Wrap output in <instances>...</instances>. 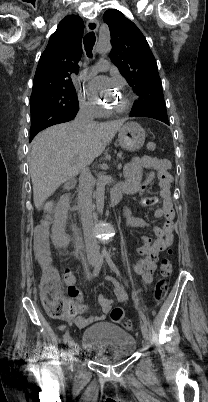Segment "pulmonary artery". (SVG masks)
Returning a JSON list of instances; mask_svg holds the SVG:
<instances>
[{"mask_svg": "<svg viewBox=\"0 0 208 402\" xmlns=\"http://www.w3.org/2000/svg\"><path fill=\"white\" fill-rule=\"evenodd\" d=\"M108 63H107V61L106 60H100L99 61V65H94V66H92V67H90V68H84L83 70H82V73L84 74V75H87L88 73H93V72H96L97 70H100V71H107L108 70V65H107Z\"/></svg>", "mask_w": 208, "mask_h": 402, "instance_id": "obj_1", "label": "pulmonary artery"}]
</instances>
